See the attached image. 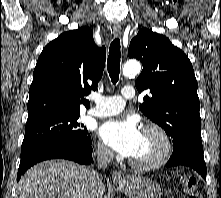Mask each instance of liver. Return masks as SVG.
Returning a JSON list of instances; mask_svg holds the SVG:
<instances>
[{"label":"liver","instance_id":"liver-1","mask_svg":"<svg viewBox=\"0 0 221 198\" xmlns=\"http://www.w3.org/2000/svg\"><path fill=\"white\" fill-rule=\"evenodd\" d=\"M90 171L60 159L39 163L21 177L16 198H102L105 186L93 185Z\"/></svg>","mask_w":221,"mask_h":198}]
</instances>
